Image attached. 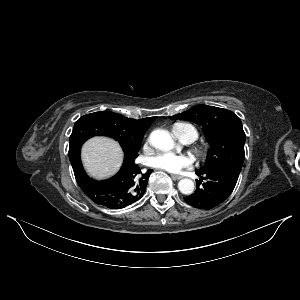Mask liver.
Instances as JSON below:
<instances>
[{
    "label": "liver",
    "instance_id": "liver-1",
    "mask_svg": "<svg viewBox=\"0 0 300 300\" xmlns=\"http://www.w3.org/2000/svg\"><path fill=\"white\" fill-rule=\"evenodd\" d=\"M81 158L90 176L104 179L112 176L120 168L123 152L114 140L95 137L83 145Z\"/></svg>",
    "mask_w": 300,
    "mask_h": 300
}]
</instances>
